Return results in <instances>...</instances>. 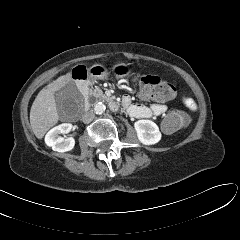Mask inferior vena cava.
<instances>
[{"mask_svg": "<svg viewBox=\"0 0 240 240\" xmlns=\"http://www.w3.org/2000/svg\"><path fill=\"white\" fill-rule=\"evenodd\" d=\"M95 118V114L92 110L90 111H87L83 114L82 116V121L85 123V124H88L90 123L93 119Z\"/></svg>", "mask_w": 240, "mask_h": 240, "instance_id": "602c4592", "label": "inferior vena cava"}]
</instances>
